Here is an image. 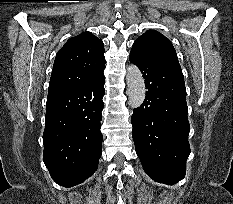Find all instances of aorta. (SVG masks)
Here are the masks:
<instances>
[{
    "instance_id": "aorta-1",
    "label": "aorta",
    "mask_w": 233,
    "mask_h": 204,
    "mask_svg": "<svg viewBox=\"0 0 233 204\" xmlns=\"http://www.w3.org/2000/svg\"><path fill=\"white\" fill-rule=\"evenodd\" d=\"M126 82L128 87V104L131 108H138L145 99V83L139 68L131 64L127 68Z\"/></svg>"
}]
</instances>
